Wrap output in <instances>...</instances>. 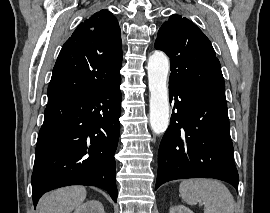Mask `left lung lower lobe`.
<instances>
[{
    "mask_svg": "<svg viewBox=\"0 0 270 213\" xmlns=\"http://www.w3.org/2000/svg\"><path fill=\"white\" fill-rule=\"evenodd\" d=\"M169 98L177 112L160 143L155 190L170 180L201 177L238 191L226 101L176 86H169Z\"/></svg>",
    "mask_w": 270,
    "mask_h": 213,
    "instance_id": "left-lung-lower-lobe-1",
    "label": "left lung lower lobe"
}]
</instances>
